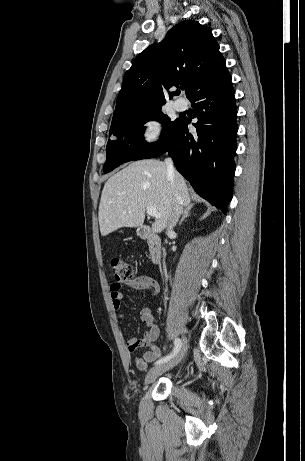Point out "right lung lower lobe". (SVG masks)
Wrapping results in <instances>:
<instances>
[{
	"instance_id": "obj_1",
	"label": "right lung lower lobe",
	"mask_w": 305,
	"mask_h": 461,
	"mask_svg": "<svg viewBox=\"0 0 305 461\" xmlns=\"http://www.w3.org/2000/svg\"><path fill=\"white\" fill-rule=\"evenodd\" d=\"M189 100L198 118L196 133H189V121L180 118L163 147L149 158L168 152L194 190L226 213L232 198L238 130L229 72Z\"/></svg>"
}]
</instances>
